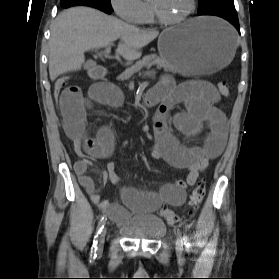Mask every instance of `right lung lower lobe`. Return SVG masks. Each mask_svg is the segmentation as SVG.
I'll return each instance as SVG.
<instances>
[{
    "label": "right lung lower lobe",
    "instance_id": "right-lung-lower-lobe-1",
    "mask_svg": "<svg viewBox=\"0 0 279 279\" xmlns=\"http://www.w3.org/2000/svg\"><path fill=\"white\" fill-rule=\"evenodd\" d=\"M60 5L63 8L83 5V6H90V7L97 8L108 14L112 12V11L108 10L107 8H105L103 5H101L97 0H61Z\"/></svg>",
    "mask_w": 279,
    "mask_h": 279
}]
</instances>
